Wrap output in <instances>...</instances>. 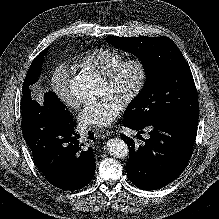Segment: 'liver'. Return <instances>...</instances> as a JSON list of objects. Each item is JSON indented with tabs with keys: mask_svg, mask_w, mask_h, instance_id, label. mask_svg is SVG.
<instances>
[{
	"mask_svg": "<svg viewBox=\"0 0 219 219\" xmlns=\"http://www.w3.org/2000/svg\"><path fill=\"white\" fill-rule=\"evenodd\" d=\"M32 95L34 96V99L39 102L40 104L44 101V89L40 83L34 85L32 88Z\"/></svg>",
	"mask_w": 219,
	"mask_h": 219,
	"instance_id": "liver-1",
	"label": "liver"
}]
</instances>
